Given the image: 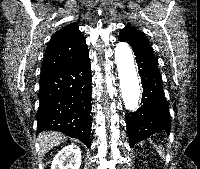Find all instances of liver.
Wrapping results in <instances>:
<instances>
[{
	"mask_svg": "<svg viewBox=\"0 0 200 169\" xmlns=\"http://www.w3.org/2000/svg\"><path fill=\"white\" fill-rule=\"evenodd\" d=\"M41 154L44 155L54 146H57L66 141V136L61 132L56 131H43L38 136Z\"/></svg>",
	"mask_w": 200,
	"mask_h": 169,
	"instance_id": "liver-1",
	"label": "liver"
}]
</instances>
